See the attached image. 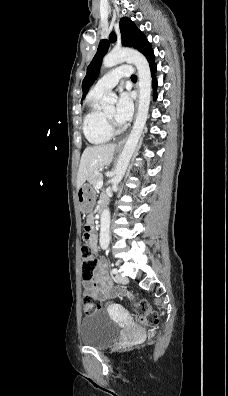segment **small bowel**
Listing matches in <instances>:
<instances>
[{"label": "small bowel", "instance_id": "small-bowel-1", "mask_svg": "<svg viewBox=\"0 0 228 396\" xmlns=\"http://www.w3.org/2000/svg\"><path fill=\"white\" fill-rule=\"evenodd\" d=\"M105 199H102V202ZM92 222V217L88 219ZM91 251L93 253L98 252V238L96 234L90 235V240L88 243ZM84 292L87 294L94 295L100 301H107L117 294V291L112 287L110 278L107 276L103 264L98 266V269L91 281L83 282Z\"/></svg>", "mask_w": 228, "mask_h": 396}]
</instances>
